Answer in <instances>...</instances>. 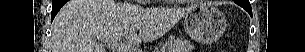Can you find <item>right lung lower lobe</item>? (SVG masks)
Returning a JSON list of instances; mask_svg holds the SVG:
<instances>
[{"mask_svg": "<svg viewBox=\"0 0 305 52\" xmlns=\"http://www.w3.org/2000/svg\"><path fill=\"white\" fill-rule=\"evenodd\" d=\"M67 2V0H53L52 3V12H51V21H53L54 17L60 10V8Z\"/></svg>", "mask_w": 305, "mask_h": 52, "instance_id": "obj_1", "label": "right lung lower lobe"}]
</instances>
